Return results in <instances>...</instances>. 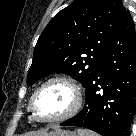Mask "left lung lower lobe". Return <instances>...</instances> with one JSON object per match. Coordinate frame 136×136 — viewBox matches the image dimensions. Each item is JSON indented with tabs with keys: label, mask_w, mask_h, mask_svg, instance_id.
Returning a JSON list of instances; mask_svg holds the SVG:
<instances>
[{
	"label": "left lung lower lobe",
	"mask_w": 136,
	"mask_h": 136,
	"mask_svg": "<svg viewBox=\"0 0 136 136\" xmlns=\"http://www.w3.org/2000/svg\"><path fill=\"white\" fill-rule=\"evenodd\" d=\"M136 111V34L129 12L110 41L86 86V103L61 123L102 136H129Z\"/></svg>",
	"instance_id": "0a47b994"
}]
</instances>
